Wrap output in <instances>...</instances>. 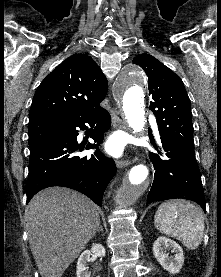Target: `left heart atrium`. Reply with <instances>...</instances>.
Wrapping results in <instances>:
<instances>
[{
    "label": "left heart atrium",
    "mask_w": 221,
    "mask_h": 277,
    "mask_svg": "<svg viewBox=\"0 0 221 277\" xmlns=\"http://www.w3.org/2000/svg\"><path fill=\"white\" fill-rule=\"evenodd\" d=\"M125 145L126 141L122 135L113 134L107 139L105 149L113 156H120L124 152Z\"/></svg>",
    "instance_id": "left-heart-atrium-1"
}]
</instances>
